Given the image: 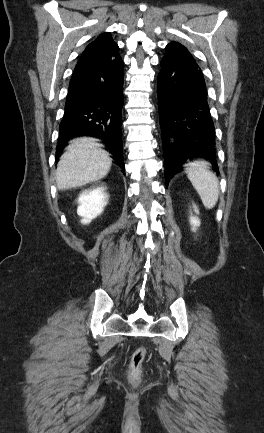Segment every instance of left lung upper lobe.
Masks as SVG:
<instances>
[{"mask_svg":"<svg viewBox=\"0 0 264 433\" xmlns=\"http://www.w3.org/2000/svg\"><path fill=\"white\" fill-rule=\"evenodd\" d=\"M166 51H187V49L182 46L181 44L177 43V42H170L167 46H166Z\"/></svg>","mask_w":264,"mask_h":433,"instance_id":"left-lung-upper-lobe-1","label":"left lung upper lobe"}]
</instances>
